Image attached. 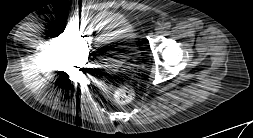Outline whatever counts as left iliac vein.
Returning a JSON list of instances; mask_svg holds the SVG:
<instances>
[{"label":"left iliac vein","mask_w":253,"mask_h":138,"mask_svg":"<svg viewBox=\"0 0 253 138\" xmlns=\"http://www.w3.org/2000/svg\"><path fill=\"white\" fill-rule=\"evenodd\" d=\"M161 30H162V28H157V29H156L157 33H160Z\"/></svg>","instance_id":"4c4485c4"}]
</instances>
